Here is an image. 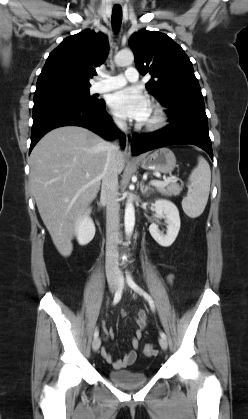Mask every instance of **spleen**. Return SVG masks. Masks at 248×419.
I'll list each match as a JSON object with an SVG mask.
<instances>
[{"mask_svg": "<svg viewBox=\"0 0 248 419\" xmlns=\"http://www.w3.org/2000/svg\"><path fill=\"white\" fill-rule=\"evenodd\" d=\"M192 188L182 200V208L187 216L196 218L202 214L208 201L211 170L208 162L200 156L198 165L189 176Z\"/></svg>", "mask_w": 248, "mask_h": 419, "instance_id": "1", "label": "spleen"}]
</instances>
